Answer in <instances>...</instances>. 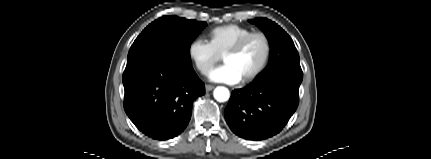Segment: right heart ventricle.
Wrapping results in <instances>:
<instances>
[{
  "label": "right heart ventricle",
  "instance_id": "1",
  "mask_svg": "<svg viewBox=\"0 0 431 159\" xmlns=\"http://www.w3.org/2000/svg\"><path fill=\"white\" fill-rule=\"evenodd\" d=\"M252 32V29L238 24L222 25L209 32V42L214 50L222 56L240 39Z\"/></svg>",
  "mask_w": 431,
  "mask_h": 159
}]
</instances>
